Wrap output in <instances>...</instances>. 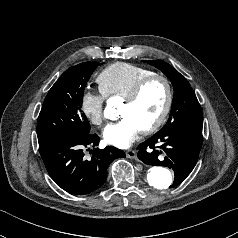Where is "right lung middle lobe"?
I'll return each instance as SVG.
<instances>
[{
	"instance_id": "1",
	"label": "right lung middle lobe",
	"mask_w": 238,
	"mask_h": 238,
	"mask_svg": "<svg viewBox=\"0 0 238 238\" xmlns=\"http://www.w3.org/2000/svg\"><path fill=\"white\" fill-rule=\"evenodd\" d=\"M97 66V62L73 66L49 90L38 117L39 148L90 133L89 123L80 108L86 83Z\"/></svg>"
}]
</instances>
